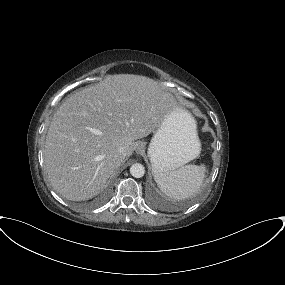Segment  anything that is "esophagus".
Returning <instances> with one entry per match:
<instances>
[{
    "mask_svg": "<svg viewBox=\"0 0 285 285\" xmlns=\"http://www.w3.org/2000/svg\"><path fill=\"white\" fill-rule=\"evenodd\" d=\"M137 151L139 153H144L145 152V144L144 143H140L137 145Z\"/></svg>",
    "mask_w": 285,
    "mask_h": 285,
    "instance_id": "34e87169",
    "label": "esophagus"
}]
</instances>
